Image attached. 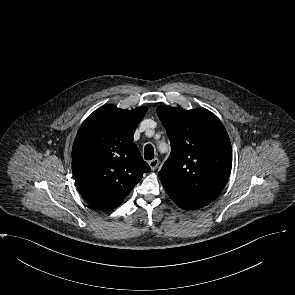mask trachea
<instances>
[{
	"mask_svg": "<svg viewBox=\"0 0 295 295\" xmlns=\"http://www.w3.org/2000/svg\"><path fill=\"white\" fill-rule=\"evenodd\" d=\"M144 157L146 160H151L154 158V149L151 144H147L144 148Z\"/></svg>",
	"mask_w": 295,
	"mask_h": 295,
	"instance_id": "3493384b",
	"label": "trachea"
}]
</instances>
